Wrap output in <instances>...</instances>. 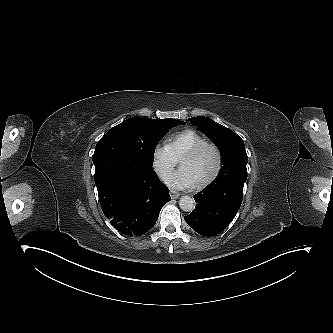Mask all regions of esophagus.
Instances as JSON below:
<instances>
[{"mask_svg":"<svg viewBox=\"0 0 333 333\" xmlns=\"http://www.w3.org/2000/svg\"><path fill=\"white\" fill-rule=\"evenodd\" d=\"M170 196L172 199H177L179 198L180 194L174 190H170Z\"/></svg>","mask_w":333,"mask_h":333,"instance_id":"1","label":"esophagus"}]
</instances>
